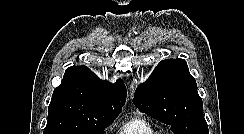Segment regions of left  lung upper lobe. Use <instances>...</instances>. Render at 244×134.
<instances>
[{
  "mask_svg": "<svg viewBox=\"0 0 244 134\" xmlns=\"http://www.w3.org/2000/svg\"><path fill=\"white\" fill-rule=\"evenodd\" d=\"M141 112L170 125L175 134H209L197 84L184 59H166L135 91Z\"/></svg>",
  "mask_w": 244,
  "mask_h": 134,
  "instance_id": "obj_1",
  "label": "left lung upper lobe"
}]
</instances>
